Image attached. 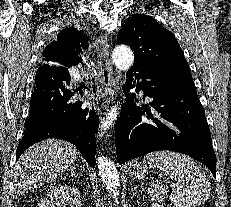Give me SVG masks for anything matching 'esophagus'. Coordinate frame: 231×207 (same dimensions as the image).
<instances>
[{
  "instance_id": "1",
  "label": "esophagus",
  "mask_w": 231,
  "mask_h": 207,
  "mask_svg": "<svg viewBox=\"0 0 231 207\" xmlns=\"http://www.w3.org/2000/svg\"><path fill=\"white\" fill-rule=\"evenodd\" d=\"M95 50L97 53L98 66L100 68V83L102 89L106 94L113 95L116 86V78L111 65L107 35L104 34L97 38Z\"/></svg>"
}]
</instances>
